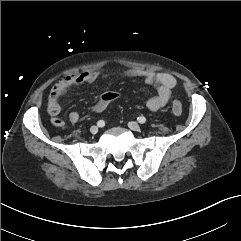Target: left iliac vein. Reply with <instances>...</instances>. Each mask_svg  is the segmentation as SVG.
<instances>
[{"mask_svg":"<svg viewBox=\"0 0 241 241\" xmlns=\"http://www.w3.org/2000/svg\"><path fill=\"white\" fill-rule=\"evenodd\" d=\"M128 126L133 131H140V125L137 122H129Z\"/></svg>","mask_w":241,"mask_h":241,"instance_id":"1","label":"left iliac vein"}]
</instances>
